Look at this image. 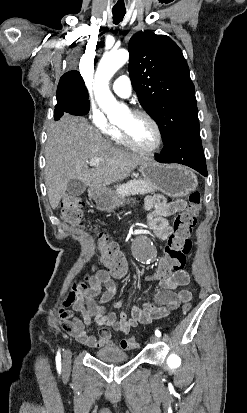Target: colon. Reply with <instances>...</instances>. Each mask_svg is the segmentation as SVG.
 <instances>
[{"mask_svg": "<svg viewBox=\"0 0 247 413\" xmlns=\"http://www.w3.org/2000/svg\"><path fill=\"white\" fill-rule=\"evenodd\" d=\"M189 209L179 214L172 222L173 231L171 232L168 245L163 252V259L160 267L157 270L159 276L167 275L168 270L172 265H182L185 259V254L189 252L190 228L195 227L197 216L201 210V195L199 192H191L188 196ZM61 218L67 224L76 227H84L83 219V203L79 197L66 195L60 205ZM98 253L101 260L105 261L109 271L113 275L124 274L128 270V265L124 262L126 253L122 249H118L116 245L111 243L106 234H100L98 237ZM191 309V303L187 302L181 306V313L187 314ZM134 345L132 339L122 340L120 347L128 349Z\"/></svg>", "mask_w": 247, "mask_h": 413, "instance_id": "colon-1", "label": "colon"}]
</instances>
